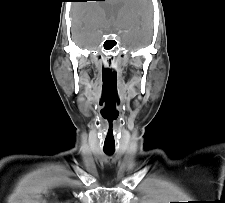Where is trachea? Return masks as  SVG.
Here are the masks:
<instances>
[{
    "label": "trachea",
    "mask_w": 225,
    "mask_h": 203,
    "mask_svg": "<svg viewBox=\"0 0 225 203\" xmlns=\"http://www.w3.org/2000/svg\"><path fill=\"white\" fill-rule=\"evenodd\" d=\"M105 154L112 155L114 153V150H104Z\"/></svg>",
    "instance_id": "obj_1"
}]
</instances>
